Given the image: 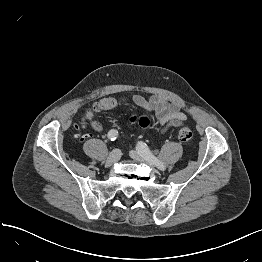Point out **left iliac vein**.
I'll use <instances>...</instances> for the list:
<instances>
[{
    "mask_svg": "<svg viewBox=\"0 0 262 262\" xmlns=\"http://www.w3.org/2000/svg\"><path fill=\"white\" fill-rule=\"evenodd\" d=\"M130 157L140 163H144L148 165L150 168L154 169V167L137 151L131 150Z\"/></svg>",
    "mask_w": 262,
    "mask_h": 262,
    "instance_id": "obj_1",
    "label": "left iliac vein"
}]
</instances>
